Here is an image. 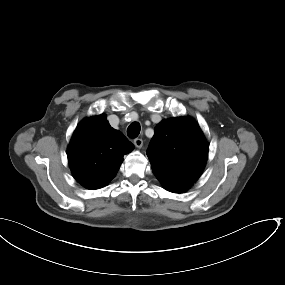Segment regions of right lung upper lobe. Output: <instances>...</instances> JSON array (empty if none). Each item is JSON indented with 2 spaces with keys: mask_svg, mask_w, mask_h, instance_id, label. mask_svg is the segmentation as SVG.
<instances>
[{
  "mask_svg": "<svg viewBox=\"0 0 285 285\" xmlns=\"http://www.w3.org/2000/svg\"><path fill=\"white\" fill-rule=\"evenodd\" d=\"M133 149L134 145L101 114L84 119L77 126L67 156L76 181L95 190L114 178L123 156Z\"/></svg>",
  "mask_w": 285,
  "mask_h": 285,
  "instance_id": "obj_1",
  "label": "right lung upper lobe"
}]
</instances>
